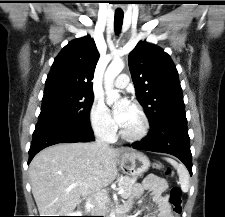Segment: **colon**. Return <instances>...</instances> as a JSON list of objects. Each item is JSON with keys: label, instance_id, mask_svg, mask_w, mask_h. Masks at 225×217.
Masks as SVG:
<instances>
[{"label": "colon", "instance_id": "1", "mask_svg": "<svg viewBox=\"0 0 225 217\" xmlns=\"http://www.w3.org/2000/svg\"><path fill=\"white\" fill-rule=\"evenodd\" d=\"M155 168L163 170L165 174H170L171 171L168 168H165L163 165L156 163ZM181 190L178 187H173L170 191V194L167 198L168 203L170 204L173 212L176 216L180 215L182 212V198H181Z\"/></svg>", "mask_w": 225, "mask_h": 217}]
</instances>
